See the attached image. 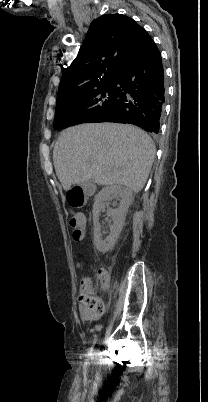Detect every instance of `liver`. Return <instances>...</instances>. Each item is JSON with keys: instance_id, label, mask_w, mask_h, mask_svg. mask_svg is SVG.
I'll use <instances>...</instances> for the list:
<instances>
[{"instance_id": "liver-1", "label": "liver", "mask_w": 208, "mask_h": 402, "mask_svg": "<svg viewBox=\"0 0 208 402\" xmlns=\"http://www.w3.org/2000/svg\"><path fill=\"white\" fill-rule=\"evenodd\" d=\"M155 158L150 136L131 124H81L60 134L53 162L64 190L74 184L144 188Z\"/></svg>"}]
</instances>
